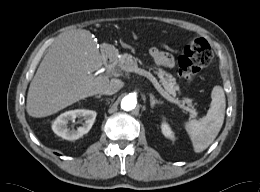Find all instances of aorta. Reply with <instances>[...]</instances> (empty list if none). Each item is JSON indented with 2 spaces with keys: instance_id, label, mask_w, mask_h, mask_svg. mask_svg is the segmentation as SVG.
Masks as SVG:
<instances>
[{
  "instance_id": "obj_1",
  "label": "aorta",
  "mask_w": 260,
  "mask_h": 192,
  "mask_svg": "<svg viewBox=\"0 0 260 192\" xmlns=\"http://www.w3.org/2000/svg\"><path fill=\"white\" fill-rule=\"evenodd\" d=\"M137 100L132 95H127L121 100V108L125 111H131L135 109Z\"/></svg>"
}]
</instances>
